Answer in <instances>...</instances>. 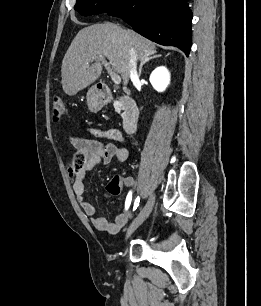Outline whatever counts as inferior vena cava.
I'll return each instance as SVG.
<instances>
[{
	"label": "inferior vena cava",
	"mask_w": 261,
	"mask_h": 306,
	"mask_svg": "<svg viewBox=\"0 0 261 306\" xmlns=\"http://www.w3.org/2000/svg\"><path fill=\"white\" fill-rule=\"evenodd\" d=\"M129 73H130V79H138V73H137V55L133 49H130L129 51Z\"/></svg>",
	"instance_id": "obj_1"
}]
</instances>
